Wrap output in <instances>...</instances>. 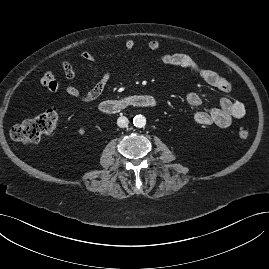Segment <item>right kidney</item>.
<instances>
[{
  "mask_svg": "<svg viewBox=\"0 0 269 269\" xmlns=\"http://www.w3.org/2000/svg\"><path fill=\"white\" fill-rule=\"evenodd\" d=\"M79 134L80 135H84L85 133V129L83 127H81L79 130H78Z\"/></svg>",
  "mask_w": 269,
  "mask_h": 269,
  "instance_id": "1",
  "label": "right kidney"
}]
</instances>
